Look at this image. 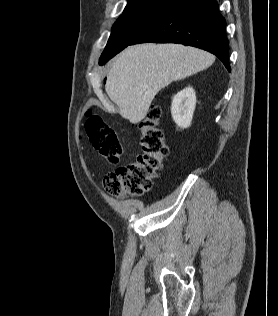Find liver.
Here are the masks:
<instances>
[{"label": "liver", "instance_id": "liver-1", "mask_svg": "<svg viewBox=\"0 0 278 316\" xmlns=\"http://www.w3.org/2000/svg\"><path fill=\"white\" fill-rule=\"evenodd\" d=\"M214 60L206 51L178 44L131 46L113 61L105 89L120 115L139 123L162 88L207 69Z\"/></svg>", "mask_w": 278, "mask_h": 316}]
</instances>
